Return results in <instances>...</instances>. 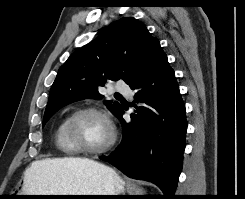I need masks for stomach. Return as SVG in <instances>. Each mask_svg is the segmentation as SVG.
I'll list each match as a JSON object with an SVG mask.
<instances>
[{
    "instance_id": "obj_1",
    "label": "stomach",
    "mask_w": 245,
    "mask_h": 199,
    "mask_svg": "<svg viewBox=\"0 0 245 199\" xmlns=\"http://www.w3.org/2000/svg\"><path fill=\"white\" fill-rule=\"evenodd\" d=\"M100 164V163H99ZM50 181L51 187L55 189L47 194H28L30 191L24 188L14 195H121L126 183L119 174L100 164L79 168L78 170L61 175H53ZM38 199H80L99 197H37Z\"/></svg>"
}]
</instances>
